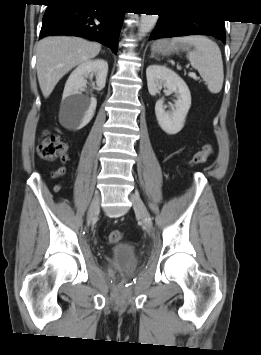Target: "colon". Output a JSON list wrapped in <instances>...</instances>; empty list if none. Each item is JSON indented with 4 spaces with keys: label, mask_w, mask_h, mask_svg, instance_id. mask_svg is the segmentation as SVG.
<instances>
[{
    "label": "colon",
    "mask_w": 261,
    "mask_h": 355,
    "mask_svg": "<svg viewBox=\"0 0 261 355\" xmlns=\"http://www.w3.org/2000/svg\"><path fill=\"white\" fill-rule=\"evenodd\" d=\"M66 149L67 144L58 135L52 132H45L41 143L38 145L37 152L40 158L54 161L64 156ZM212 154V145L206 144L194 154L189 165L193 167L204 164ZM61 186V184L56 185L55 190H60ZM107 239L111 244H116L122 239V232L117 229L110 230L107 234Z\"/></svg>",
    "instance_id": "1"
}]
</instances>
